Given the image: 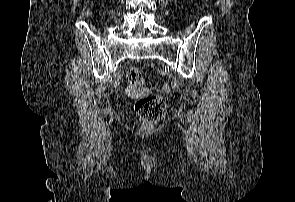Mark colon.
Masks as SVG:
<instances>
[{
	"mask_svg": "<svg viewBox=\"0 0 295 202\" xmlns=\"http://www.w3.org/2000/svg\"><path fill=\"white\" fill-rule=\"evenodd\" d=\"M127 80L134 87L144 84L143 73L137 67H130L127 70ZM135 110L140 117L144 131H148L164 116L166 103L162 97L157 95H152V98H138L135 101Z\"/></svg>",
	"mask_w": 295,
	"mask_h": 202,
	"instance_id": "5ec220e1",
	"label": "colon"
}]
</instances>
